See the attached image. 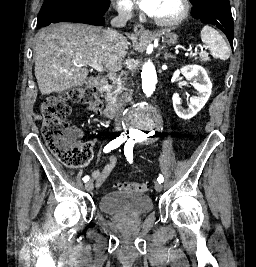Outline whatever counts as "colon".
<instances>
[{
    "instance_id": "1",
    "label": "colon",
    "mask_w": 256,
    "mask_h": 267,
    "mask_svg": "<svg viewBox=\"0 0 256 267\" xmlns=\"http://www.w3.org/2000/svg\"><path fill=\"white\" fill-rule=\"evenodd\" d=\"M68 101L90 108L98 113L102 110L101 101L87 87L75 88L60 95L47 96L42 104V133L50 151L64 165L80 167L86 165L92 156L91 147L87 144H76L74 131L66 123L71 113ZM117 189L133 192H148L151 185L145 182H119Z\"/></svg>"
}]
</instances>
